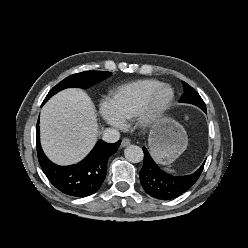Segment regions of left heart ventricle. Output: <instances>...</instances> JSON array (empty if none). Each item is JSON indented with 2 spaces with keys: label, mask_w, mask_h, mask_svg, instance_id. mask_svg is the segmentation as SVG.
Here are the masks:
<instances>
[{
  "label": "left heart ventricle",
  "mask_w": 248,
  "mask_h": 248,
  "mask_svg": "<svg viewBox=\"0 0 248 248\" xmlns=\"http://www.w3.org/2000/svg\"><path fill=\"white\" fill-rule=\"evenodd\" d=\"M167 96H168V92H164V93L161 95V98H162V99H165Z\"/></svg>",
  "instance_id": "b2bd125f"
}]
</instances>
